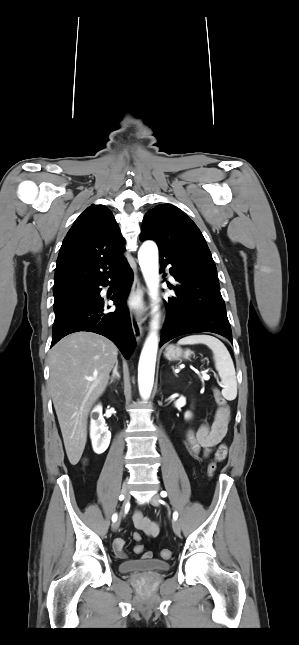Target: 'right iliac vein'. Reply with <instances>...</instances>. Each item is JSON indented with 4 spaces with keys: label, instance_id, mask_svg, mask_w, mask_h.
Wrapping results in <instances>:
<instances>
[{
    "label": "right iliac vein",
    "instance_id": "63e3f726",
    "mask_svg": "<svg viewBox=\"0 0 299 645\" xmlns=\"http://www.w3.org/2000/svg\"><path fill=\"white\" fill-rule=\"evenodd\" d=\"M122 495L124 496V502L127 503L130 500L129 486L127 482H124L121 490ZM120 525V519L112 523V530L116 531Z\"/></svg>",
    "mask_w": 299,
    "mask_h": 645
}]
</instances>
